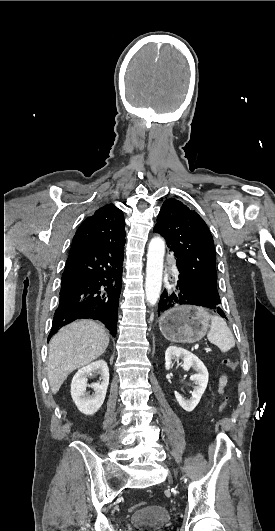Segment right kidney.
I'll use <instances>...</instances> for the list:
<instances>
[{"mask_svg":"<svg viewBox=\"0 0 275 531\" xmlns=\"http://www.w3.org/2000/svg\"><path fill=\"white\" fill-rule=\"evenodd\" d=\"M92 371H98L102 377L101 383H91L87 385L86 377L91 375ZM109 385V369L106 361L99 359L90 363L87 367H82L74 375L71 383V397L78 409L84 415H94L102 407ZM87 387L95 391L94 395L86 393Z\"/></svg>","mask_w":275,"mask_h":531,"instance_id":"right-kidney-1","label":"right kidney"}]
</instances>
